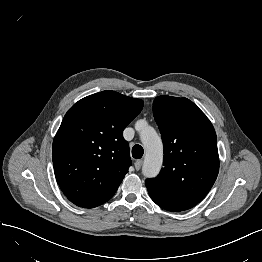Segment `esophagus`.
I'll list each match as a JSON object with an SVG mask.
<instances>
[{
    "label": "esophagus",
    "instance_id": "34e87169",
    "mask_svg": "<svg viewBox=\"0 0 262 262\" xmlns=\"http://www.w3.org/2000/svg\"><path fill=\"white\" fill-rule=\"evenodd\" d=\"M142 164H143V161H142V160H136L135 163H134L135 169H136V170H140Z\"/></svg>",
    "mask_w": 262,
    "mask_h": 262
}]
</instances>
